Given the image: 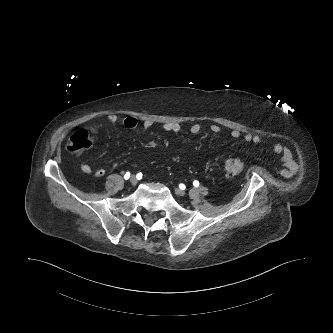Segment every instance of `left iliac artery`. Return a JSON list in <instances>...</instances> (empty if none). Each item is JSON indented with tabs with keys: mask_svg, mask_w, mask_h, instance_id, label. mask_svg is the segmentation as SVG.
I'll return each instance as SVG.
<instances>
[{
	"mask_svg": "<svg viewBox=\"0 0 333 333\" xmlns=\"http://www.w3.org/2000/svg\"><path fill=\"white\" fill-rule=\"evenodd\" d=\"M193 185H194L195 187H198V186H199V181L195 180V181L193 182Z\"/></svg>",
	"mask_w": 333,
	"mask_h": 333,
	"instance_id": "left-iliac-artery-1",
	"label": "left iliac artery"
}]
</instances>
